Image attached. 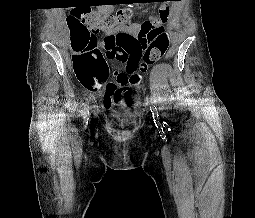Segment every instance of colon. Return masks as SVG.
I'll return each instance as SVG.
<instances>
[{
  "instance_id": "1",
  "label": "colon",
  "mask_w": 255,
  "mask_h": 218,
  "mask_svg": "<svg viewBox=\"0 0 255 218\" xmlns=\"http://www.w3.org/2000/svg\"><path fill=\"white\" fill-rule=\"evenodd\" d=\"M131 16L129 8L114 14L76 8L68 17L73 71L79 83L92 91L104 87L107 95L114 92L116 96L124 94L127 104H130L128 92L126 89L117 90V84H138L140 75L137 71L160 59L169 45L162 24L145 21L135 34L119 32L109 38L103 53L97 46L95 33L111 32L117 26H125ZM160 17L165 18L166 11L160 12ZM107 59L124 62L125 71L111 74ZM111 75L115 81L110 79Z\"/></svg>"
}]
</instances>
